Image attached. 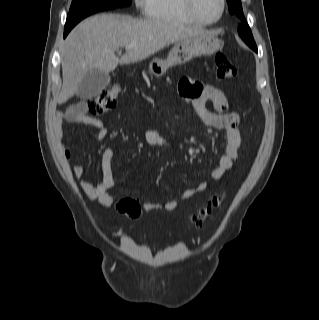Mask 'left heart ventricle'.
Listing matches in <instances>:
<instances>
[{"mask_svg":"<svg viewBox=\"0 0 319 320\" xmlns=\"http://www.w3.org/2000/svg\"><path fill=\"white\" fill-rule=\"evenodd\" d=\"M220 0H195L197 14L205 20H214L220 13Z\"/></svg>","mask_w":319,"mask_h":320,"instance_id":"left-heart-ventricle-1","label":"left heart ventricle"}]
</instances>
